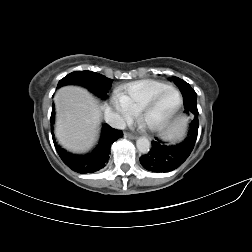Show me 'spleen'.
<instances>
[{
	"label": "spleen",
	"mask_w": 252,
	"mask_h": 252,
	"mask_svg": "<svg viewBox=\"0 0 252 252\" xmlns=\"http://www.w3.org/2000/svg\"><path fill=\"white\" fill-rule=\"evenodd\" d=\"M185 131V120H178L174 123V125L170 128L167 133L166 138L168 139H179L183 136Z\"/></svg>",
	"instance_id": "1"
}]
</instances>
